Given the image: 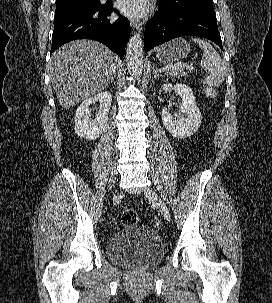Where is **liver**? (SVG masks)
<instances>
[{
    "mask_svg": "<svg viewBox=\"0 0 272 303\" xmlns=\"http://www.w3.org/2000/svg\"><path fill=\"white\" fill-rule=\"evenodd\" d=\"M118 57L103 44L75 40L50 59L52 85L59 104L69 109L101 92L116 72Z\"/></svg>",
    "mask_w": 272,
    "mask_h": 303,
    "instance_id": "obj_1",
    "label": "liver"
}]
</instances>
